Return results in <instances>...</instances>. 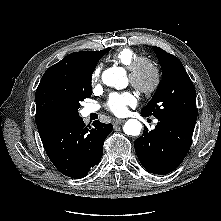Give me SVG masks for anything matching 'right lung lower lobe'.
<instances>
[{"mask_svg":"<svg viewBox=\"0 0 221 221\" xmlns=\"http://www.w3.org/2000/svg\"><path fill=\"white\" fill-rule=\"evenodd\" d=\"M112 130V124L95 121L92 127L78 117L39 133L54 166L68 177L83 178L100 162L103 143Z\"/></svg>","mask_w":221,"mask_h":221,"instance_id":"obj_1","label":"right lung lower lobe"}]
</instances>
